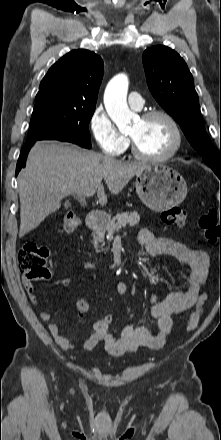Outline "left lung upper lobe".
Returning <instances> with one entry per match:
<instances>
[{
	"instance_id": "5c2ea615",
	"label": "left lung upper lobe",
	"mask_w": 221,
	"mask_h": 440,
	"mask_svg": "<svg viewBox=\"0 0 221 440\" xmlns=\"http://www.w3.org/2000/svg\"><path fill=\"white\" fill-rule=\"evenodd\" d=\"M142 60L149 90L156 101L177 121L213 171H221V154L206 133L193 76L183 58L171 48L158 45L146 49Z\"/></svg>"
}]
</instances>
